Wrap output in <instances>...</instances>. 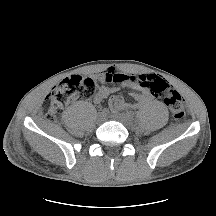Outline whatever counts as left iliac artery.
I'll return each instance as SVG.
<instances>
[{
	"label": "left iliac artery",
	"mask_w": 216,
	"mask_h": 216,
	"mask_svg": "<svg viewBox=\"0 0 216 216\" xmlns=\"http://www.w3.org/2000/svg\"><path fill=\"white\" fill-rule=\"evenodd\" d=\"M127 114L132 118L134 117V113L132 111L127 112Z\"/></svg>",
	"instance_id": "obj_1"
}]
</instances>
